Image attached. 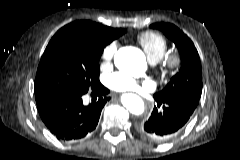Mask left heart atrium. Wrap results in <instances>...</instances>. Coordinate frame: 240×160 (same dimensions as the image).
Masks as SVG:
<instances>
[{
	"instance_id": "1",
	"label": "left heart atrium",
	"mask_w": 240,
	"mask_h": 160,
	"mask_svg": "<svg viewBox=\"0 0 240 160\" xmlns=\"http://www.w3.org/2000/svg\"><path fill=\"white\" fill-rule=\"evenodd\" d=\"M108 85L113 90L119 92L135 91L140 87H149V83L147 81L140 82L130 76L121 73H116L110 76Z\"/></svg>"
}]
</instances>
